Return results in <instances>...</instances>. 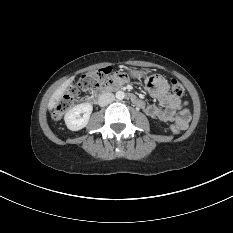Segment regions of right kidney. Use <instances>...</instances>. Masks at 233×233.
<instances>
[{
  "label": "right kidney",
  "mask_w": 233,
  "mask_h": 233,
  "mask_svg": "<svg viewBox=\"0 0 233 233\" xmlns=\"http://www.w3.org/2000/svg\"><path fill=\"white\" fill-rule=\"evenodd\" d=\"M93 107L90 103H81L70 109L64 116L65 124L71 131H78L86 127ZM81 114L83 116L81 117Z\"/></svg>",
  "instance_id": "obj_1"
}]
</instances>
